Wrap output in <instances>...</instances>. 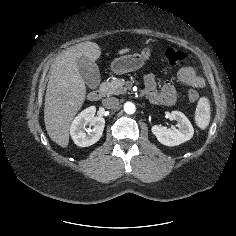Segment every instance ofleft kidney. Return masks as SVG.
I'll use <instances>...</instances> for the list:
<instances>
[{"instance_id":"obj_1","label":"left kidney","mask_w":236,"mask_h":236,"mask_svg":"<svg viewBox=\"0 0 236 236\" xmlns=\"http://www.w3.org/2000/svg\"><path fill=\"white\" fill-rule=\"evenodd\" d=\"M170 119L178 123V129H168L162 125H154L151 130L157 140L165 146H176L190 140L194 129L189 119L179 111H172Z\"/></svg>"}]
</instances>
